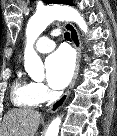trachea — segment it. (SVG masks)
I'll return each mask as SVG.
<instances>
[{
    "label": "trachea",
    "instance_id": "trachea-1",
    "mask_svg": "<svg viewBox=\"0 0 117 136\" xmlns=\"http://www.w3.org/2000/svg\"><path fill=\"white\" fill-rule=\"evenodd\" d=\"M64 37H65L66 40H71L70 39V33H68V32L64 33Z\"/></svg>",
    "mask_w": 117,
    "mask_h": 136
}]
</instances>
